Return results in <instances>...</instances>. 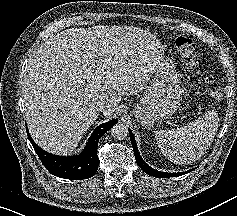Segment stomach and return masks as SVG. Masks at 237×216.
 <instances>
[{
	"mask_svg": "<svg viewBox=\"0 0 237 216\" xmlns=\"http://www.w3.org/2000/svg\"><path fill=\"white\" fill-rule=\"evenodd\" d=\"M182 90L174 73L164 80L154 79L146 87L141 101L134 106L133 114L144 127L152 126L156 121L174 113L182 100Z\"/></svg>",
	"mask_w": 237,
	"mask_h": 216,
	"instance_id": "1",
	"label": "stomach"
}]
</instances>
